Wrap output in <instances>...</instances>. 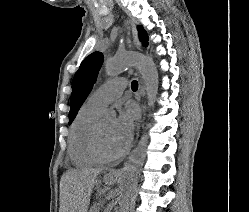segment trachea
Listing matches in <instances>:
<instances>
[{
    "label": "trachea",
    "instance_id": "trachea-1",
    "mask_svg": "<svg viewBox=\"0 0 249 212\" xmlns=\"http://www.w3.org/2000/svg\"><path fill=\"white\" fill-rule=\"evenodd\" d=\"M131 88L132 90L138 89V82L136 80H133V82L131 83Z\"/></svg>",
    "mask_w": 249,
    "mask_h": 212
}]
</instances>
